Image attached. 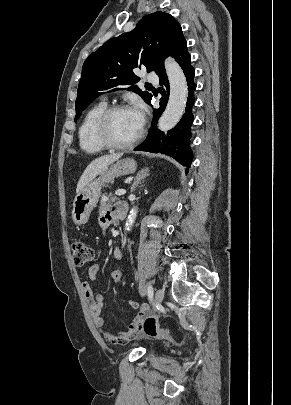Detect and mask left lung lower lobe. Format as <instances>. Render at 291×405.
<instances>
[{
	"label": "left lung lower lobe",
	"instance_id": "0a47b994",
	"mask_svg": "<svg viewBox=\"0 0 291 405\" xmlns=\"http://www.w3.org/2000/svg\"><path fill=\"white\" fill-rule=\"evenodd\" d=\"M171 56L179 63L187 80L189 94L185 113L180 122L167 133L161 132L160 130L155 129L153 126V129L148 134L147 139L141 145L135 148V151L162 153L173 157L180 164L187 167V174L189 172L188 168L190 167L193 159L189 141L191 137L189 128L194 120L191 108L195 103L193 92L196 89V84L193 81L195 70L191 66V57L187 50V42L185 38L179 42ZM156 74L160 77V84L164 86V88L161 92L162 98L160 99V107L158 109H154L153 111L154 124L163 113L169 96V81L164 66L159 68L156 71ZM149 104H151V100Z\"/></svg>",
	"mask_w": 291,
	"mask_h": 405
}]
</instances>
